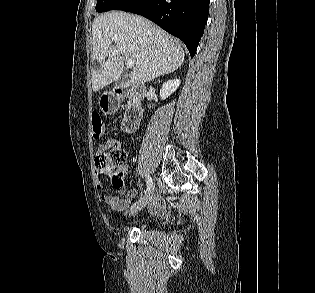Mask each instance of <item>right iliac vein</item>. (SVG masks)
<instances>
[{
    "label": "right iliac vein",
    "mask_w": 315,
    "mask_h": 293,
    "mask_svg": "<svg viewBox=\"0 0 315 293\" xmlns=\"http://www.w3.org/2000/svg\"><path fill=\"white\" fill-rule=\"evenodd\" d=\"M153 189L150 190L145 196H143L138 202H136L129 210V215H134L143 209L152 199Z\"/></svg>",
    "instance_id": "1"
}]
</instances>
